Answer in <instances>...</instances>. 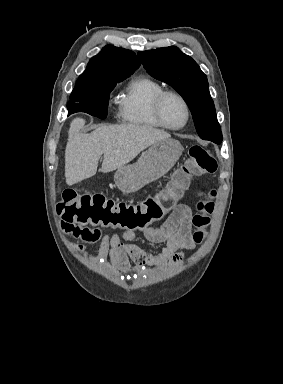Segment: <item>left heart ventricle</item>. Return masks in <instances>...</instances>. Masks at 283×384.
I'll list each match as a JSON object with an SVG mask.
<instances>
[{
    "instance_id": "obj_1",
    "label": "left heart ventricle",
    "mask_w": 283,
    "mask_h": 384,
    "mask_svg": "<svg viewBox=\"0 0 283 384\" xmlns=\"http://www.w3.org/2000/svg\"><path fill=\"white\" fill-rule=\"evenodd\" d=\"M162 117L165 123L171 127L181 126L186 118L181 101L175 96H168L162 106Z\"/></svg>"
}]
</instances>
